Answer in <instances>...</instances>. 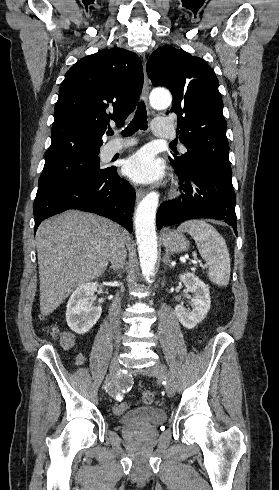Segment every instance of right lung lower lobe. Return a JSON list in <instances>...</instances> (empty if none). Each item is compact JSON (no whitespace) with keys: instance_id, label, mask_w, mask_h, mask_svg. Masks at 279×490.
Masks as SVG:
<instances>
[{"instance_id":"98d812e1","label":"right lung lower lobe","mask_w":279,"mask_h":490,"mask_svg":"<svg viewBox=\"0 0 279 490\" xmlns=\"http://www.w3.org/2000/svg\"><path fill=\"white\" fill-rule=\"evenodd\" d=\"M134 203L135 191L116 167L104 176L40 186L34 201V232L41 221L68 209L96 213L132 232Z\"/></svg>"}]
</instances>
